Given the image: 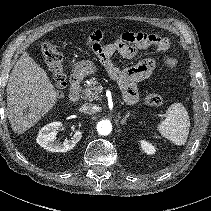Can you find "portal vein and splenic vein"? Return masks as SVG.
I'll use <instances>...</instances> for the list:
<instances>
[{"label":"portal vein and splenic vein","mask_w":211,"mask_h":211,"mask_svg":"<svg viewBox=\"0 0 211 211\" xmlns=\"http://www.w3.org/2000/svg\"><path fill=\"white\" fill-rule=\"evenodd\" d=\"M163 116H164V115L159 114V117H160V118H163Z\"/></svg>","instance_id":"portal-vein-and-splenic-vein-1"}]
</instances>
